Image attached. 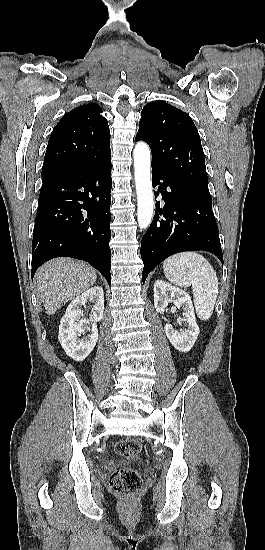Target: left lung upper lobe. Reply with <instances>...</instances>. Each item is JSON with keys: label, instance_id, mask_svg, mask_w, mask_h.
Returning <instances> with one entry per match:
<instances>
[{"label": "left lung upper lobe", "instance_id": "1", "mask_svg": "<svg viewBox=\"0 0 265 550\" xmlns=\"http://www.w3.org/2000/svg\"><path fill=\"white\" fill-rule=\"evenodd\" d=\"M139 140L149 144L152 165L211 196L200 136L187 113L163 101L148 103L141 112Z\"/></svg>", "mask_w": 265, "mask_h": 550}]
</instances>
